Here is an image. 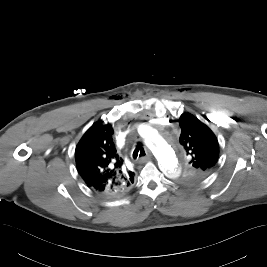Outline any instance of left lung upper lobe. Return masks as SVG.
Returning <instances> with one entry per match:
<instances>
[{
  "mask_svg": "<svg viewBox=\"0 0 267 267\" xmlns=\"http://www.w3.org/2000/svg\"><path fill=\"white\" fill-rule=\"evenodd\" d=\"M180 144L184 147L189 162L181 179L187 184L201 182L215 169L219 144L208 126L189 113L180 116Z\"/></svg>",
  "mask_w": 267,
  "mask_h": 267,
  "instance_id": "obj_1",
  "label": "left lung upper lobe"
}]
</instances>
